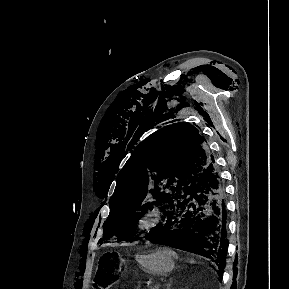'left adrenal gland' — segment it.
I'll return each instance as SVG.
<instances>
[{
    "instance_id": "a2214340",
    "label": "left adrenal gland",
    "mask_w": 289,
    "mask_h": 289,
    "mask_svg": "<svg viewBox=\"0 0 289 289\" xmlns=\"http://www.w3.org/2000/svg\"><path fill=\"white\" fill-rule=\"evenodd\" d=\"M170 285H171V282L168 284L167 289H169Z\"/></svg>"
}]
</instances>
